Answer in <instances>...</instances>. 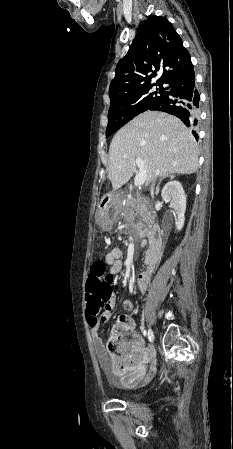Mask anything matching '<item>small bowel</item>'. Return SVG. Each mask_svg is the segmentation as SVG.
Returning a JSON list of instances; mask_svg holds the SVG:
<instances>
[{
  "label": "small bowel",
  "mask_w": 233,
  "mask_h": 449,
  "mask_svg": "<svg viewBox=\"0 0 233 449\" xmlns=\"http://www.w3.org/2000/svg\"><path fill=\"white\" fill-rule=\"evenodd\" d=\"M105 260L108 264L106 278L110 281L122 271V250L119 247L112 248L106 254ZM152 279L151 272H139L137 290L145 292ZM107 295L110 297L112 294L109 292ZM103 307L106 312L99 315L96 323H89L86 318L95 354L105 370L116 375L123 384L134 386L146 377L145 371L152 361L153 352L144 347V340L141 336L134 334L135 343L133 345L127 349L118 350L117 354L109 353L99 336V327L101 323L107 322L111 318L113 304L106 302Z\"/></svg>",
  "instance_id": "c3829d8e"
}]
</instances>
